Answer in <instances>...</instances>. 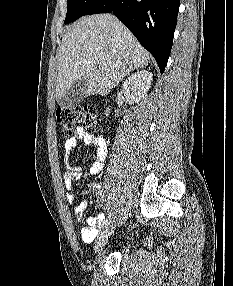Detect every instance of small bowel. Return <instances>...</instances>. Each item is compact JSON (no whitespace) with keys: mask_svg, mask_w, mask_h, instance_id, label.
Listing matches in <instances>:
<instances>
[{"mask_svg":"<svg viewBox=\"0 0 233 286\" xmlns=\"http://www.w3.org/2000/svg\"><path fill=\"white\" fill-rule=\"evenodd\" d=\"M82 141L85 145H90L96 151V159L90 167V173L92 175H98L104 165V162L107 158L108 148L105 139L100 135H93L85 131L82 127H77L74 130L72 137L66 140L64 144L65 159L68 161L71 151L77 146L78 142ZM83 170L80 166H73L70 164L66 165L64 171V183L68 190H71L73 183L76 180H79L82 177ZM95 198L99 204L105 202V197L100 190L95 191ZM76 199L75 194L68 193L67 200L69 203H73ZM88 208V202L82 201L74 208L75 219L79 222L81 221L85 211ZM104 213L100 212L96 215L89 216L86 220V226L81 230V238L85 243H91L98 232V228L101 226L104 220Z\"/></svg>","mask_w":233,"mask_h":286,"instance_id":"1","label":"small bowel"}]
</instances>
